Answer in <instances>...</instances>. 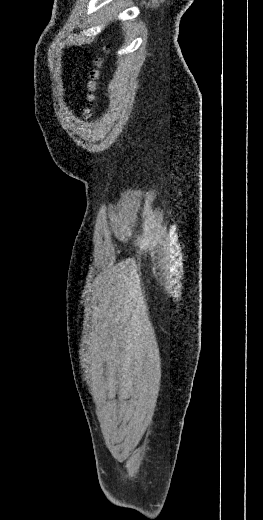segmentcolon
<instances>
[{"instance_id":"colon-1","label":"colon","mask_w":263,"mask_h":520,"mask_svg":"<svg viewBox=\"0 0 263 520\" xmlns=\"http://www.w3.org/2000/svg\"><path fill=\"white\" fill-rule=\"evenodd\" d=\"M108 47H106V50ZM103 65V58H96L94 61V67L88 73V82H87V107L84 109V115H90V105L93 103L95 96L94 92L97 88V81L100 76V69Z\"/></svg>"}]
</instances>
